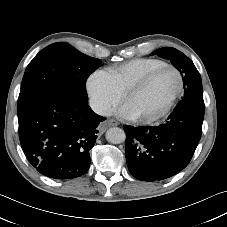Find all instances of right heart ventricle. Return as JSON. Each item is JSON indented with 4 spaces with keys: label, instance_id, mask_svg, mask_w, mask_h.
I'll return each instance as SVG.
<instances>
[{
    "label": "right heart ventricle",
    "instance_id": "1",
    "mask_svg": "<svg viewBox=\"0 0 227 227\" xmlns=\"http://www.w3.org/2000/svg\"><path fill=\"white\" fill-rule=\"evenodd\" d=\"M167 65L157 58H137L106 69V73L114 82L121 94L140 81L150 72Z\"/></svg>",
    "mask_w": 227,
    "mask_h": 227
}]
</instances>
